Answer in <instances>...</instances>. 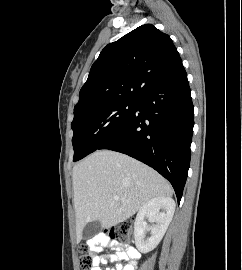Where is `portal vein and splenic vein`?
Returning <instances> with one entry per match:
<instances>
[{
    "label": "portal vein and splenic vein",
    "instance_id": "obj_1",
    "mask_svg": "<svg viewBox=\"0 0 242 270\" xmlns=\"http://www.w3.org/2000/svg\"><path fill=\"white\" fill-rule=\"evenodd\" d=\"M113 199H115V200H125L124 198H121V197H119L118 195H114L113 196Z\"/></svg>",
    "mask_w": 242,
    "mask_h": 270
}]
</instances>
